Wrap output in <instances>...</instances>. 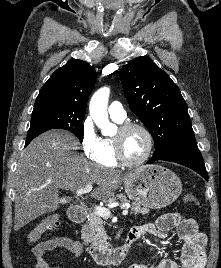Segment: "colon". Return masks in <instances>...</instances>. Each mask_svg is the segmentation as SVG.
<instances>
[{"mask_svg":"<svg viewBox=\"0 0 221 268\" xmlns=\"http://www.w3.org/2000/svg\"><path fill=\"white\" fill-rule=\"evenodd\" d=\"M185 203H193L201 206V203L194 195H186L184 197ZM59 225V217L57 215L46 216L37 226L29 233L28 241L30 243L36 242L42 234L48 230H53Z\"/></svg>","mask_w":221,"mask_h":268,"instance_id":"5ec220e1","label":"colon"}]
</instances>
